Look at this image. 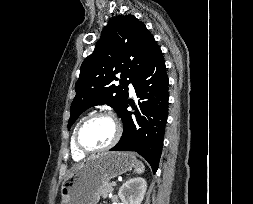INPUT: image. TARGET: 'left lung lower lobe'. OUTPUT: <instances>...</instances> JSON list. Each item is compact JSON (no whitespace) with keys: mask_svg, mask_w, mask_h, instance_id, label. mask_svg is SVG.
Wrapping results in <instances>:
<instances>
[{"mask_svg":"<svg viewBox=\"0 0 253 204\" xmlns=\"http://www.w3.org/2000/svg\"><path fill=\"white\" fill-rule=\"evenodd\" d=\"M168 77L160 47L155 44L133 81L137 105L126 101L121 113L123 134L111 151H135L143 156L154 172L158 169L168 116ZM130 104L134 112L127 110Z\"/></svg>","mask_w":253,"mask_h":204,"instance_id":"0a47b994","label":"left lung lower lobe"}]
</instances>
